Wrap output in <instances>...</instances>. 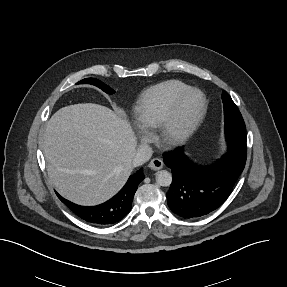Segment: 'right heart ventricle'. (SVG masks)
<instances>
[{
  "instance_id": "obj_1",
  "label": "right heart ventricle",
  "mask_w": 287,
  "mask_h": 287,
  "mask_svg": "<svg viewBox=\"0 0 287 287\" xmlns=\"http://www.w3.org/2000/svg\"><path fill=\"white\" fill-rule=\"evenodd\" d=\"M187 88L183 82L169 80L146 90L135 108L137 126L142 130L158 127L175 97Z\"/></svg>"
}]
</instances>
